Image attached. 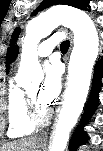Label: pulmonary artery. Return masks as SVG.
Wrapping results in <instances>:
<instances>
[{"instance_id": "pulmonary-artery-1", "label": "pulmonary artery", "mask_w": 103, "mask_h": 151, "mask_svg": "<svg viewBox=\"0 0 103 151\" xmlns=\"http://www.w3.org/2000/svg\"><path fill=\"white\" fill-rule=\"evenodd\" d=\"M63 39V34L56 33L51 37L42 41L37 48V55L39 57H47L51 54L54 47Z\"/></svg>"}]
</instances>
